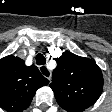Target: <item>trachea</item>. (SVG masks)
<instances>
[{
  "instance_id": "1",
  "label": "trachea",
  "mask_w": 112,
  "mask_h": 112,
  "mask_svg": "<svg viewBox=\"0 0 112 112\" xmlns=\"http://www.w3.org/2000/svg\"><path fill=\"white\" fill-rule=\"evenodd\" d=\"M45 63H46V58L44 57V55L41 54V53L37 54V56H36V64L37 65H44ZM42 73L44 75H46V71L45 70H42Z\"/></svg>"
}]
</instances>
